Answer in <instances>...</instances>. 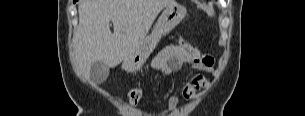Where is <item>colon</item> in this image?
<instances>
[{"label": "colon", "mask_w": 305, "mask_h": 116, "mask_svg": "<svg viewBox=\"0 0 305 116\" xmlns=\"http://www.w3.org/2000/svg\"><path fill=\"white\" fill-rule=\"evenodd\" d=\"M144 98V89L141 86L132 88L127 96V107L130 111L138 108Z\"/></svg>", "instance_id": "colon-1"}]
</instances>
